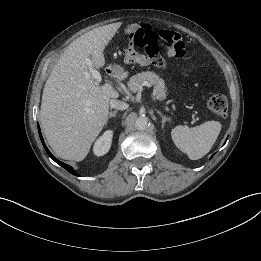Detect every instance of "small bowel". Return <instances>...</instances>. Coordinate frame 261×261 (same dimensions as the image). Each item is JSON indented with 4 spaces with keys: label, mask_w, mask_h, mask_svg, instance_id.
<instances>
[{
    "label": "small bowel",
    "mask_w": 261,
    "mask_h": 261,
    "mask_svg": "<svg viewBox=\"0 0 261 261\" xmlns=\"http://www.w3.org/2000/svg\"><path fill=\"white\" fill-rule=\"evenodd\" d=\"M168 55L176 56L171 50H168ZM124 59H125L126 63L137 64V65H141V66H146L149 63V60L145 55L140 54L136 51L132 42H130L128 47L125 49Z\"/></svg>",
    "instance_id": "small-bowel-1"
}]
</instances>
